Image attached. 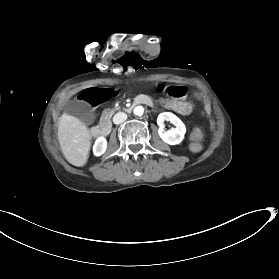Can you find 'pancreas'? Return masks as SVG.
Masks as SVG:
<instances>
[{
    "label": "pancreas",
    "instance_id": "cf45deb5",
    "mask_svg": "<svg viewBox=\"0 0 279 279\" xmlns=\"http://www.w3.org/2000/svg\"><path fill=\"white\" fill-rule=\"evenodd\" d=\"M118 110V108H107L103 111L102 113V117L101 118H104V117H107V118H111V116Z\"/></svg>",
    "mask_w": 279,
    "mask_h": 279
}]
</instances>
